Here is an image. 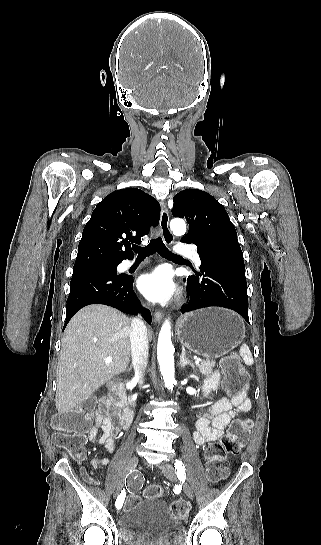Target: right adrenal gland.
Here are the masks:
<instances>
[{
    "label": "right adrenal gland",
    "mask_w": 321,
    "mask_h": 545,
    "mask_svg": "<svg viewBox=\"0 0 321 545\" xmlns=\"http://www.w3.org/2000/svg\"><path fill=\"white\" fill-rule=\"evenodd\" d=\"M131 369H132V365H131V367H129V369H127V371H131Z\"/></svg>",
    "instance_id": "right-adrenal-gland-1"
}]
</instances>
